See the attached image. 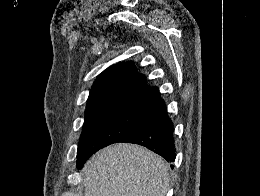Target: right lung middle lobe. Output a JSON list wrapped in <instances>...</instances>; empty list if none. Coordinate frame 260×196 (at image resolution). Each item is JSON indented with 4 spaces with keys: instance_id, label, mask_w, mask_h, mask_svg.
Instances as JSON below:
<instances>
[{
    "instance_id": "dd1d6c3e",
    "label": "right lung middle lobe",
    "mask_w": 260,
    "mask_h": 196,
    "mask_svg": "<svg viewBox=\"0 0 260 196\" xmlns=\"http://www.w3.org/2000/svg\"><path fill=\"white\" fill-rule=\"evenodd\" d=\"M155 118L144 107L134 104L87 106L78 149L99 150L119 142Z\"/></svg>"
}]
</instances>
